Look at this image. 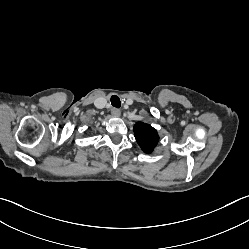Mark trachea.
Segmentation results:
<instances>
[{
	"mask_svg": "<svg viewBox=\"0 0 249 249\" xmlns=\"http://www.w3.org/2000/svg\"><path fill=\"white\" fill-rule=\"evenodd\" d=\"M111 104H112V106L119 108L121 106V101H120L119 97L116 95H113L111 97Z\"/></svg>",
	"mask_w": 249,
	"mask_h": 249,
	"instance_id": "1",
	"label": "trachea"
}]
</instances>
